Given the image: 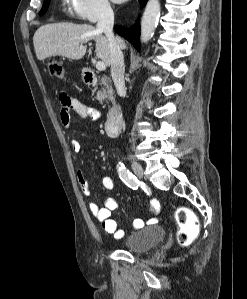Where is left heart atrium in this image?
<instances>
[{"label":"left heart atrium","mask_w":247,"mask_h":299,"mask_svg":"<svg viewBox=\"0 0 247 299\" xmlns=\"http://www.w3.org/2000/svg\"><path fill=\"white\" fill-rule=\"evenodd\" d=\"M115 2H122V1H125V0H114Z\"/></svg>","instance_id":"left-heart-atrium-1"}]
</instances>
